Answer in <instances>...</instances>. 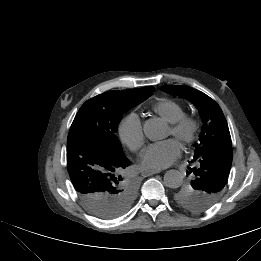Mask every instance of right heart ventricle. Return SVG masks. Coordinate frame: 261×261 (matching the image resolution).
<instances>
[{
    "label": "right heart ventricle",
    "mask_w": 261,
    "mask_h": 261,
    "mask_svg": "<svg viewBox=\"0 0 261 261\" xmlns=\"http://www.w3.org/2000/svg\"><path fill=\"white\" fill-rule=\"evenodd\" d=\"M153 111L165 121L171 123L185 113V108L173 99H162L154 104Z\"/></svg>",
    "instance_id": "obj_1"
}]
</instances>
